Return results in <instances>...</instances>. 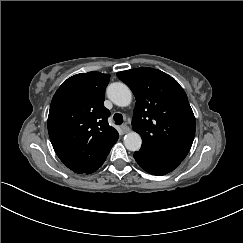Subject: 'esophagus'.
Segmentation results:
<instances>
[{"label": "esophagus", "mask_w": 243, "mask_h": 243, "mask_svg": "<svg viewBox=\"0 0 243 243\" xmlns=\"http://www.w3.org/2000/svg\"><path fill=\"white\" fill-rule=\"evenodd\" d=\"M121 131H122L123 134H126L130 131V128L127 125H122Z\"/></svg>", "instance_id": "esophagus-1"}]
</instances>
